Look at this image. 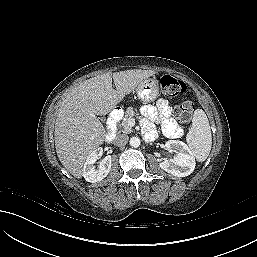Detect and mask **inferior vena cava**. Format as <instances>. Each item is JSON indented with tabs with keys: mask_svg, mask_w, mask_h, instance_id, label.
<instances>
[{
	"mask_svg": "<svg viewBox=\"0 0 257 257\" xmlns=\"http://www.w3.org/2000/svg\"><path fill=\"white\" fill-rule=\"evenodd\" d=\"M128 140H129V137L127 135L120 134L114 139L113 143L114 145L121 147V146H125Z\"/></svg>",
	"mask_w": 257,
	"mask_h": 257,
	"instance_id": "obj_1",
	"label": "inferior vena cava"
}]
</instances>
